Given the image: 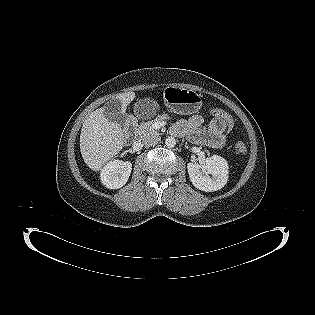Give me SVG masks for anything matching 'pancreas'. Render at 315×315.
Segmentation results:
<instances>
[{"label":"pancreas","mask_w":315,"mask_h":315,"mask_svg":"<svg viewBox=\"0 0 315 315\" xmlns=\"http://www.w3.org/2000/svg\"><path fill=\"white\" fill-rule=\"evenodd\" d=\"M165 119L164 116H159L155 120H151L148 122L141 123L138 128L135 130V134L138 138L143 139L150 134H158V132L154 129L153 124L155 121H161Z\"/></svg>","instance_id":"1"}]
</instances>
